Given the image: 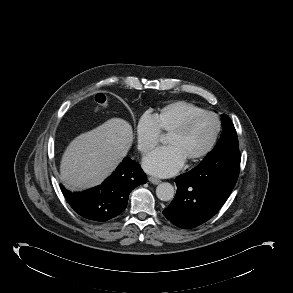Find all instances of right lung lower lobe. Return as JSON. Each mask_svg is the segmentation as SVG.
Returning a JSON list of instances; mask_svg holds the SVG:
<instances>
[{
	"label": "right lung lower lobe",
	"instance_id": "obj_1",
	"mask_svg": "<svg viewBox=\"0 0 293 293\" xmlns=\"http://www.w3.org/2000/svg\"><path fill=\"white\" fill-rule=\"evenodd\" d=\"M146 182L147 177L140 165L125 158L113 174L97 187L82 193H71L60 187L75 212L86 219L104 222L123 212L130 192Z\"/></svg>",
	"mask_w": 293,
	"mask_h": 293
}]
</instances>
